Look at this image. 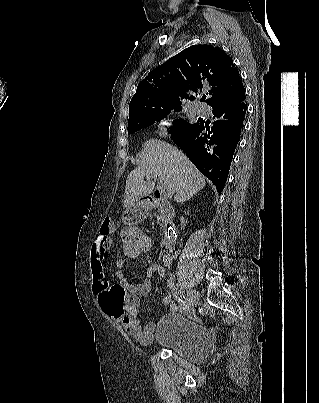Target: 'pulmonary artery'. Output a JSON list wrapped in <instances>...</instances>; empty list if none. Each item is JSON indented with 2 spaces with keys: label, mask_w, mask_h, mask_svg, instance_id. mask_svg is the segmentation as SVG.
<instances>
[{
  "label": "pulmonary artery",
  "mask_w": 319,
  "mask_h": 403,
  "mask_svg": "<svg viewBox=\"0 0 319 403\" xmlns=\"http://www.w3.org/2000/svg\"><path fill=\"white\" fill-rule=\"evenodd\" d=\"M196 111L201 115H206L208 113V108L204 104L196 105Z\"/></svg>",
  "instance_id": "e3ab8cb5"
}]
</instances>
